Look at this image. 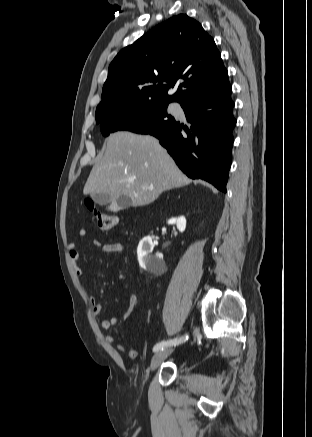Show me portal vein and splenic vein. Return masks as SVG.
Returning a JSON list of instances; mask_svg holds the SVG:
<instances>
[{"instance_id": "18ae733b", "label": "portal vein and splenic vein", "mask_w": 312, "mask_h": 437, "mask_svg": "<svg viewBox=\"0 0 312 437\" xmlns=\"http://www.w3.org/2000/svg\"><path fill=\"white\" fill-rule=\"evenodd\" d=\"M130 182H131V183H133V182H134V180L132 179V180H130ZM149 189H151V190H152V189H153V187L151 186V187H149Z\"/></svg>"}]
</instances>
